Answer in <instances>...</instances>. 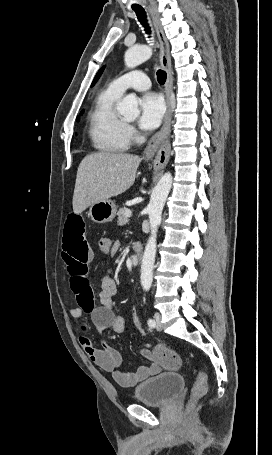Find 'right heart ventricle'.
Returning <instances> with one entry per match:
<instances>
[{"instance_id": "obj_1", "label": "right heart ventricle", "mask_w": 272, "mask_h": 455, "mask_svg": "<svg viewBox=\"0 0 272 455\" xmlns=\"http://www.w3.org/2000/svg\"><path fill=\"white\" fill-rule=\"evenodd\" d=\"M120 96L106 88L97 96L88 116L92 146L103 153H120L129 147L128 126L115 110Z\"/></svg>"}]
</instances>
